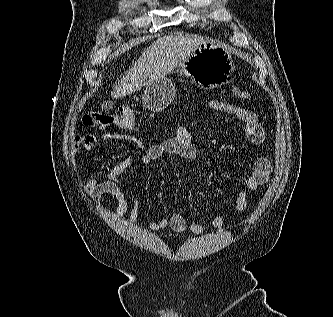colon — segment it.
Here are the masks:
<instances>
[{
    "instance_id": "1",
    "label": "colon",
    "mask_w": 333,
    "mask_h": 317,
    "mask_svg": "<svg viewBox=\"0 0 333 317\" xmlns=\"http://www.w3.org/2000/svg\"><path fill=\"white\" fill-rule=\"evenodd\" d=\"M232 93L239 99H248L250 94L247 91L234 88ZM83 124L88 128L107 129L115 127L121 130H130L135 123V114L130 107L122 105L116 113L102 111H88L82 118Z\"/></svg>"
}]
</instances>
